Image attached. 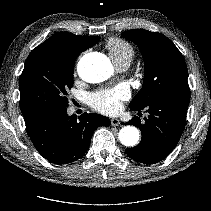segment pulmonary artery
Instances as JSON below:
<instances>
[{"label": "pulmonary artery", "instance_id": "pulmonary-artery-1", "mask_svg": "<svg viewBox=\"0 0 211 211\" xmlns=\"http://www.w3.org/2000/svg\"><path fill=\"white\" fill-rule=\"evenodd\" d=\"M128 66L129 64L127 63H122V64L117 65L119 70H125Z\"/></svg>", "mask_w": 211, "mask_h": 211}]
</instances>
